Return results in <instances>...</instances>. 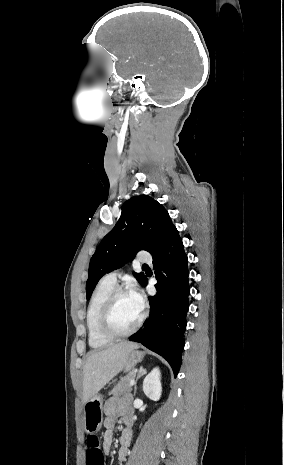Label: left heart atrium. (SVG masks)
Instances as JSON below:
<instances>
[{"label": "left heart atrium", "instance_id": "1", "mask_svg": "<svg viewBox=\"0 0 284 465\" xmlns=\"http://www.w3.org/2000/svg\"><path fill=\"white\" fill-rule=\"evenodd\" d=\"M131 297L135 303L142 309L144 305V298L142 293L138 289L132 290Z\"/></svg>", "mask_w": 284, "mask_h": 465}]
</instances>
